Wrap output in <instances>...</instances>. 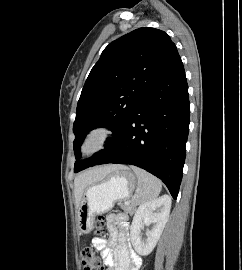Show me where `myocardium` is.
<instances>
[{"mask_svg":"<svg viewBox=\"0 0 242 270\" xmlns=\"http://www.w3.org/2000/svg\"><path fill=\"white\" fill-rule=\"evenodd\" d=\"M112 137V130L108 126L98 125L86 132L84 135L81 144H80V153L83 157H91L107 146ZM93 146L88 150L89 144Z\"/></svg>","mask_w":242,"mask_h":270,"instance_id":"f54148a6","label":"myocardium"}]
</instances>
